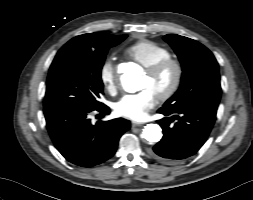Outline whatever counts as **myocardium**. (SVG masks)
Wrapping results in <instances>:
<instances>
[{
  "label": "myocardium",
  "mask_w": 253,
  "mask_h": 200,
  "mask_svg": "<svg viewBox=\"0 0 253 200\" xmlns=\"http://www.w3.org/2000/svg\"><path fill=\"white\" fill-rule=\"evenodd\" d=\"M167 70L172 71V80L165 90L156 95L160 101L168 100L179 89L183 76L182 65L178 60L170 57L148 66L145 69L146 73L154 78L160 76Z\"/></svg>",
  "instance_id": "myocardium-1"
}]
</instances>
